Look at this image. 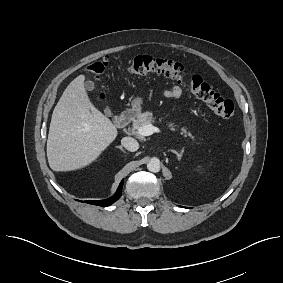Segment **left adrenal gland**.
Returning a JSON list of instances; mask_svg holds the SVG:
<instances>
[{"label":"left adrenal gland","mask_w":283,"mask_h":283,"mask_svg":"<svg viewBox=\"0 0 283 283\" xmlns=\"http://www.w3.org/2000/svg\"><path fill=\"white\" fill-rule=\"evenodd\" d=\"M172 153H174V154H176L177 155V159L180 161L181 160V158H182V156H183V152H184V150L182 149L181 150V152L179 153V152H177L176 150H173V149H171L170 150Z\"/></svg>","instance_id":"a2214340"}]
</instances>
